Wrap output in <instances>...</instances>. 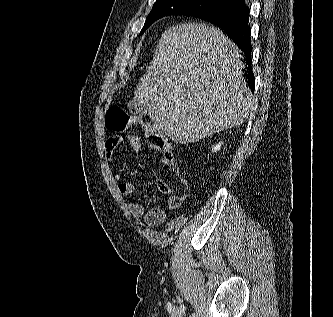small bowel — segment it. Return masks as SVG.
<instances>
[{
    "label": "small bowel",
    "mask_w": 333,
    "mask_h": 317,
    "mask_svg": "<svg viewBox=\"0 0 333 317\" xmlns=\"http://www.w3.org/2000/svg\"><path fill=\"white\" fill-rule=\"evenodd\" d=\"M127 140L134 149L135 153L141 155L142 145L139 136L136 134H129L127 136ZM121 142L122 137L118 135L111 136L106 140L104 151L108 162L112 161L113 154ZM117 180V186L120 194L126 198L132 199L135 195L134 185L122 178L121 175H117ZM157 187L161 193L170 195L166 202L167 209L170 211L178 210L182 204V200L178 196L171 195L173 193L172 187L162 179L157 180ZM130 210L135 217L142 218L149 226L162 225L167 218L166 212L163 209L159 207L145 209L141 203L134 200L130 202Z\"/></svg>",
    "instance_id": "c3829d8e"
}]
</instances>
